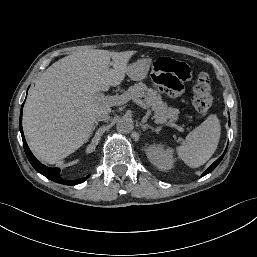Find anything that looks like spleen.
Segmentation results:
<instances>
[{"instance_id":"3e777b00","label":"spleen","mask_w":257,"mask_h":257,"mask_svg":"<svg viewBox=\"0 0 257 257\" xmlns=\"http://www.w3.org/2000/svg\"><path fill=\"white\" fill-rule=\"evenodd\" d=\"M220 134L218 117L210 115L186 136L185 143L176 148L177 154L189 167H200L216 151Z\"/></svg>"}]
</instances>
